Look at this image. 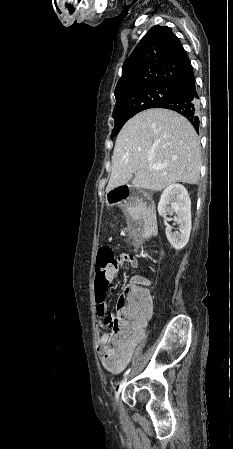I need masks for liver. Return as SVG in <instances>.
<instances>
[{
  "mask_svg": "<svg viewBox=\"0 0 233 449\" xmlns=\"http://www.w3.org/2000/svg\"><path fill=\"white\" fill-rule=\"evenodd\" d=\"M200 167V143L191 123L175 111L148 109L118 134L106 192L127 184L134 172L133 186L151 191L176 182L197 184Z\"/></svg>",
  "mask_w": 233,
  "mask_h": 449,
  "instance_id": "6515ba94",
  "label": "liver"
}]
</instances>
